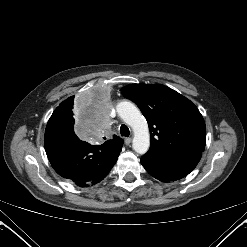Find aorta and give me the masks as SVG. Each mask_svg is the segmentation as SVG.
I'll list each match as a JSON object with an SVG mask.
<instances>
[{"mask_svg": "<svg viewBox=\"0 0 247 247\" xmlns=\"http://www.w3.org/2000/svg\"><path fill=\"white\" fill-rule=\"evenodd\" d=\"M116 111L120 118L133 129V149L139 154H145L150 146V134L147 121L140 110L133 103L122 101L117 104Z\"/></svg>", "mask_w": 247, "mask_h": 247, "instance_id": "762f6f07", "label": "aorta"}]
</instances>
